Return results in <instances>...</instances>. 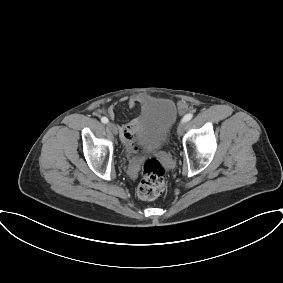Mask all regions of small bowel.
Segmentation results:
<instances>
[{"label":"small bowel","mask_w":283,"mask_h":283,"mask_svg":"<svg viewBox=\"0 0 283 283\" xmlns=\"http://www.w3.org/2000/svg\"><path fill=\"white\" fill-rule=\"evenodd\" d=\"M130 108H134L138 104L142 106H147L148 100L143 95H134L129 98H123ZM188 107L184 102L178 104V111L180 114H183L187 111ZM107 115L110 118L115 116V105H110L106 110ZM143 120V114L136 117L135 119L129 121L128 123L122 124L119 126L120 138L126 148V151L131 154L136 149V139L135 136H141V123Z\"/></svg>","instance_id":"obj_1"}]
</instances>
